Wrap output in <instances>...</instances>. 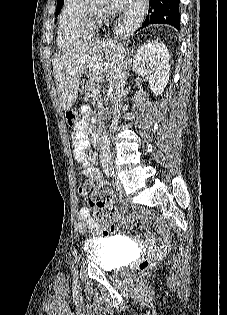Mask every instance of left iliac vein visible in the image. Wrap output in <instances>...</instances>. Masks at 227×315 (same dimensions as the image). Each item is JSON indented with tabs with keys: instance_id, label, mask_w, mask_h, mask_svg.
<instances>
[{
	"instance_id": "obj_1",
	"label": "left iliac vein",
	"mask_w": 227,
	"mask_h": 315,
	"mask_svg": "<svg viewBox=\"0 0 227 315\" xmlns=\"http://www.w3.org/2000/svg\"><path fill=\"white\" fill-rule=\"evenodd\" d=\"M114 185H115L116 187H121V182H120V180H119L118 177H115V179H114Z\"/></svg>"
}]
</instances>
